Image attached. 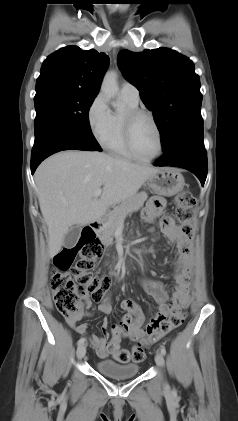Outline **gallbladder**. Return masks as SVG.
Returning a JSON list of instances; mask_svg holds the SVG:
<instances>
[{"label":"gallbladder","mask_w":238,"mask_h":421,"mask_svg":"<svg viewBox=\"0 0 238 421\" xmlns=\"http://www.w3.org/2000/svg\"><path fill=\"white\" fill-rule=\"evenodd\" d=\"M80 233H81V228L79 226L71 227L64 237L63 245L67 249H72L76 245L80 237Z\"/></svg>","instance_id":"bac80fb5"}]
</instances>
